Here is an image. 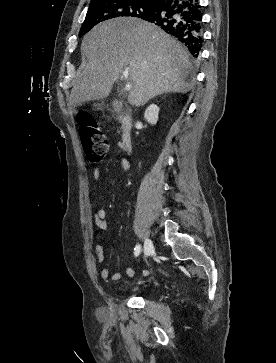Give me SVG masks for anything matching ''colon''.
<instances>
[{
	"mask_svg": "<svg viewBox=\"0 0 276 363\" xmlns=\"http://www.w3.org/2000/svg\"><path fill=\"white\" fill-rule=\"evenodd\" d=\"M80 135L86 157L97 162L105 157L108 151V141L94 118L87 114L79 117Z\"/></svg>",
	"mask_w": 276,
	"mask_h": 363,
	"instance_id": "5ec220e1",
	"label": "colon"
}]
</instances>
